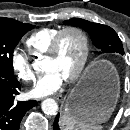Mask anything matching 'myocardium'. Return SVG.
I'll list each match as a JSON object with an SVG mask.
<instances>
[{"label":"myocardium","instance_id":"obj_1","mask_svg":"<svg viewBox=\"0 0 130 130\" xmlns=\"http://www.w3.org/2000/svg\"><path fill=\"white\" fill-rule=\"evenodd\" d=\"M68 32L76 33L81 38L82 44H83V52H82L81 60L78 64L77 68L71 75H69L65 79L67 82H73V81L77 80L84 72L88 59H89V54H90L89 37L82 28L75 26V25H70V26H66V27L60 29L59 32L52 39L50 46L48 48V51L45 55H46V58L55 57L58 53L62 37Z\"/></svg>","mask_w":130,"mask_h":130}]
</instances>
